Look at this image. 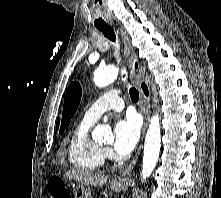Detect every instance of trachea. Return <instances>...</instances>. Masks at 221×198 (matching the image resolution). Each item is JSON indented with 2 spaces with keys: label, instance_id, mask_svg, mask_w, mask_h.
Returning <instances> with one entry per match:
<instances>
[{
  "label": "trachea",
  "instance_id": "obj_1",
  "mask_svg": "<svg viewBox=\"0 0 221 198\" xmlns=\"http://www.w3.org/2000/svg\"><path fill=\"white\" fill-rule=\"evenodd\" d=\"M100 31H102V33L104 34L105 37H107L109 40L115 42L116 41V35L114 33V30L107 26V27H99L98 28ZM129 94H130V97H131V100L133 102H137L139 100V93L138 91L132 87L129 89Z\"/></svg>",
  "mask_w": 221,
  "mask_h": 198
}]
</instances>
